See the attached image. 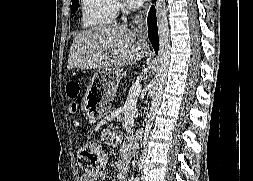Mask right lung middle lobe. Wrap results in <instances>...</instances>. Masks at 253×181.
I'll list each match as a JSON object with an SVG mask.
<instances>
[{
	"instance_id": "right-lung-middle-lobe-1",
	"label": "right lung middle lobe",
	"mask_w": 253,
	"mask_h": 181,
	"mask_svg": "<svg viewBox=\"0 0 253 181\" xmlns=\"http://www.w3.org/2000/svg\"><path fill=\"white\" fill-rule=\"evenodd\" d=\"M71 10H72V13L78 10V0H72Z\"/></svg>"
}]
</instances>
